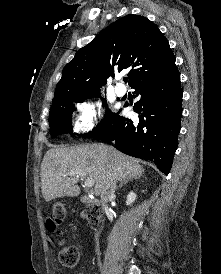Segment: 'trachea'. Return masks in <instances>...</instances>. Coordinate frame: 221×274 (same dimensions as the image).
Here are the masks:
<instances>
[{
	"label": "trachea",
	"instance_id": "trachea-1",
	"mask_svg": "<svg viewBox=\"0 0 221 274\" xmlns=\"http://www.w3.org/2000/svg\"><path fill=\"white\" fill-rule=\"evenodd\" d=\"M123 80H124V82H125V83H127V81H128V79H127V78H124Z\"/></svg>",
	"mask_w": 221,
	"mask_h": 274
}]
</instances>
